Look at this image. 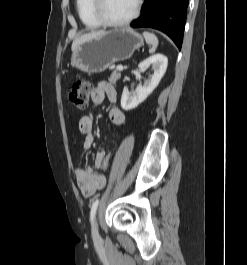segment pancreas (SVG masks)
<instances>
[{"label":"pancreas","mask_w":247,"mask_h":265,"mask_svg":"<svg viewBox=\"0 0 247 265\" xmlns=\"http://www.w3.org/2000/svg\"><path fill=\"white\" fill-rule=\"evenodd\" d=\"M120 77H121L120 70L115 69V70H113V72H112V74H111V76H110V78H109V81H110L111 83H116V81H117L118 79H120Z\"/></svg>","instance_id":"obj_1"}]
</instances>
